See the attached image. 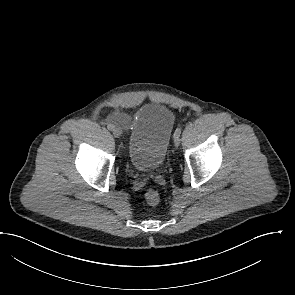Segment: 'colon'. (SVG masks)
I'll use <instances>...</instances> for the list:
<instances>
[{
	"label": "colon",
	"mask_w": 295,
	"mask_h": 295,
	"mask_svg": "<svg viewBox=\"0 0 295 295\" xmlns=\"http://www.w3.org/2000/svg\"><path fill=\"white\" fill-rule=\"evenodd\" d=\"M145 199L148 204L156 205L160 200L159 193L156 190L150 189L145 193Z\"/></svg>",
	"instance_id": "5ec220e1"
}]
</instances>
